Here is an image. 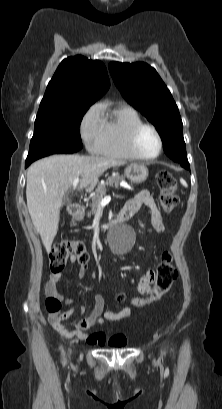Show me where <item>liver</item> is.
<instances>
[{
  "label": "liver",
  "instance_id": "1",
  "mask_svg": "<svg viewBox=\"0 0 222 409\" xmlns=\"http://www.w3.org/2000/svg\"><path fill=\"white\" fill-rule=\"evenodd\" d=\"M124 162L109 157L53 155L33 163L27 171V208L47 252L58 231L60 208L75 178L78 190L94 189L110 167Z\"/></svg>",
  "mask_w": 222,
  "mask_h": 409
}]
</instances>
